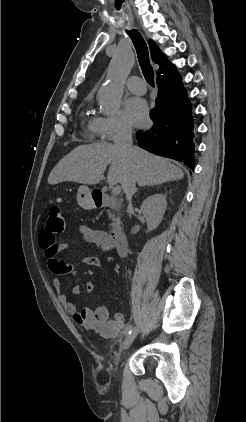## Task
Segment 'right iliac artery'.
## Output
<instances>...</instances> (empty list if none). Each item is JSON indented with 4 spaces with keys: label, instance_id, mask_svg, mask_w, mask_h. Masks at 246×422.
<instances>
[{
    "label": "right iliac artery",
    "instance_id": "obj_1",
    "mask_svg": "<svg viewBox=\"0 0 246 422\" xmlns=\"http://www.w3.org/2000/svg\"><path fill=\"white\" fill-rule=\"evenodd\" d=\"M131 331H132V326H131V325H128V326L125 328V335L130 334V333H131Z\"/></svg>",
    "mask_w": 246,
    "mask_h": 422
}]
</instances>
